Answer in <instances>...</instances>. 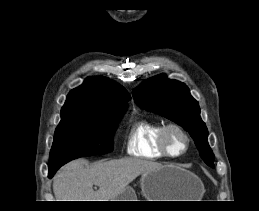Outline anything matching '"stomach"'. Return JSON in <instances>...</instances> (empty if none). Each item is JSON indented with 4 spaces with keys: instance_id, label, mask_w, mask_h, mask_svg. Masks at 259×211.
I'll list each match as a JSON object with an SVG mask.
<instances>
[{
    "instance_id": "0dacf381",
    "label": "stomach",
    "mask_w": 259,
    "mask_h": 211,
    "mask_svg": "<svg viewBox=\"0 0 259 211\" xmlns=\"http://www.w3.org/2000/svg\"><path fill=\"white\" fill-rule=\"evenodd\" d=\"M142 193L147 201H193L202 191L200 180L193 173L172 165L141 175ZM132 187L127 186L113 201H137Z\"/></svg>"
}]
</instances>
